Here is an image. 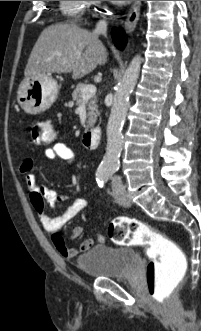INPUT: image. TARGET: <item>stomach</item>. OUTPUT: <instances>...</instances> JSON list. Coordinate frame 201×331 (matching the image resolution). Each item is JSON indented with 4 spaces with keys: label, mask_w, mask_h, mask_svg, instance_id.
Returning <instances> with one entry per match:
<instances>
[{
    "label": "stomach",
    "mask_w": 201,
    "mask_h": 331,
    "mask_svg": "<svg viewBox=\"0 0 201 331\" xmlns=\"http://www.w3.org/2000/svg\"><path fill=\"white\" fill-rule=\"evenodd\" d=\"M58 94L59 86L51 76H29L20 83L17 100L26 113L37 115L49 109Z\"/></svg>",
    "instance_id": "obj_1"
}]
</instances>
